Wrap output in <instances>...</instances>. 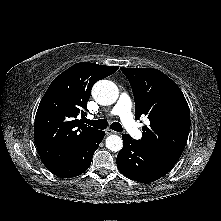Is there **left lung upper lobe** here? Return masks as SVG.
I'll return each instance as SVG.
<instances>
[{
	"mask_svg": "<svg viewBox=\"0 0 221 221\" xmlns=\"http://www.w3.org/2000/svg\"><path fill=\"white\" fill-rule=\"evenodd\" d=\"M132 87L135 118L147 116L149 127H143L144 148L176 164L190 130V110L176 83L157 69L121 68Z\"/></svg>",
	"mask_w": 221,
	"mask_h": 221,
	"instance_id": "obj_1",
	"label": "left lung upper lobe"
}]
</instances>
